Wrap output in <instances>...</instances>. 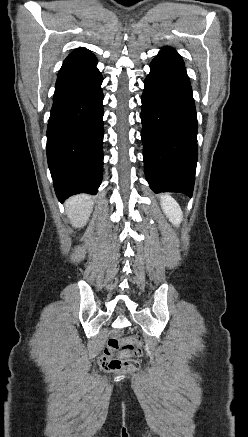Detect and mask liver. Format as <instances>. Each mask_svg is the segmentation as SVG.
Listing matches in <instances>:
<instances>
[{"label":"liver","instance_id":"1","mask_svg":"<svg viewBox=\"0 0 248 437\" xmlns=\"http://www.w3.org/2000/svg\"><path fill=\"white\" fill-rule=\"evenodd\" d=\"M66 214L75 228L83 227L88 221L93 209V202L88 195H76L66 203Z\"/></svg>","mask_w":248,"mask_h":437}]
</instances>
